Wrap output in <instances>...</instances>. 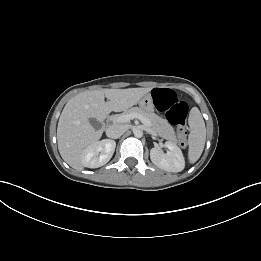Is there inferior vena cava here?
<instances>
[{
  "label": "inferior vena cava",
  "instance_id": "obj_1",
  "mask_svg": "<svg viewBox=\"0 0 261 261\" xmlns=\"http://www.w3.org/2000/svg\"><path fill=\"white\" fill-rule=\"evenodd\" d=\"M126 131V127L121 124H113L109 126L106 130V135L109 138L112 139H117L119 138L122 134H124Z\"/></svg>",
  "mask_w": 261,
  "mask_h": 261
}]
</instances>
